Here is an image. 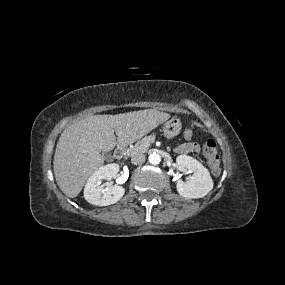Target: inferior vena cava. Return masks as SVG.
I'll return each instance as SVG.
<instances>
[{
    "instance_id": "602c4592",
    "label": "inferior vena cava",
    "mask_w": 285,
    "mask_h": 285,
    "mask_svg": "<svg viewBox=\"0 0 285 285\" xmlns=\"http://www.w3.org/2000/svg\"><path fill=\"white\" fill-rule=\"evenodd\" d=\"M144 161H145V155L144 154H136V155L132 156V158H131V162L134 165L141 164Z\"/></svg>"
}]
</instances>
